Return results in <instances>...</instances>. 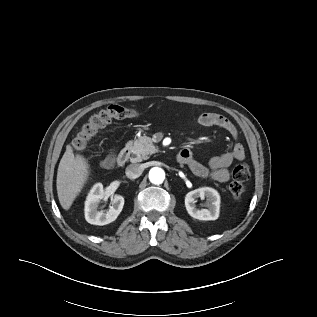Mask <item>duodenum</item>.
<instances>
[{
	"label": "duodenum",
	"instance_id": "obj_1",
	"mask_svg": "<svg viewBox=\"0 0 317 317\" xmlns=\"http://www.w3.org/2000/svg\"><path fill=\"white\" fill-rule=\"evenodd\" d=\"M129 154H130L129 148L124 147L123 149L119 151L116 157H112L111 159L107 160L106 167L110 168L114 166L115 164L119 166L124 165L129 158ZM185 156H187V153L185 154V152L182 150L178 154V157H177L178 162L181 163L183 159L185 158Z\"/></svg>",
	"mask_w": 317,
	"mask_h": 317
}]
</instances>
